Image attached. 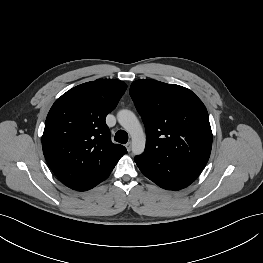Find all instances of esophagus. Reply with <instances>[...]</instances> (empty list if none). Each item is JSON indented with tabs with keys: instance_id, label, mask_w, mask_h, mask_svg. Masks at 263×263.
Segmentation results:
<instances>
[{
	"instance_id": "34e87169",
	"label": "esophagus",
	"mask_w": 263,
	"mask_h": 263,
	"mask_svg": "<svg viewBox=\"0 0 263 263\" xmlns=\"http://www.w3.org/2000/svg\"><path fill=\"white\" fill-rule=\"evenodd\" d=\"M126 149L128 152L131 151V142H128L126 145H125Z\"/></svg>"
}]
</instances>
